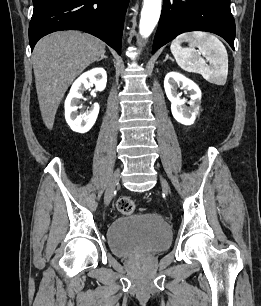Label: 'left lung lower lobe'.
Listing matches in <instances>:
<instances>
[{
	"mask_svg": "<svg viewBox=\"0 0 261 306\" xmlns=\"http://www.w3.org/2000/svg\"><path fill=\"white\" fill-rule=\"evenodd\" d=\"M189 31L215 33L234 49L235 21L230 0H164L152 53Z\"/></svg>",
	"mask_w": 261,
	"mask_h": 306,
	"instance_id": "left-lung-lower-lobe-1",
	"label": "left lung lower lobe"
}]
</instances>
